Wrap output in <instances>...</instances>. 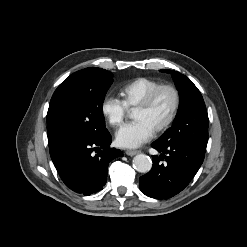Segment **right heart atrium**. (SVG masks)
<instances>
[{"instance_id":"right-heart-atrium-1","label":"right heart atrium","mask_w":247,"mask_h":247,"mask_svg":"<svg viewBox=\"0 0 247 247\" xmlns=\"http://www.w3.org/2000/svg\"><path fill=\"white\" fill-rule=\"evenodd\" d=\"M100 110L111 126H118L124 119L127 108L122 100L114 96H105L101 102Z\"/></svg>"}]
</instances>
